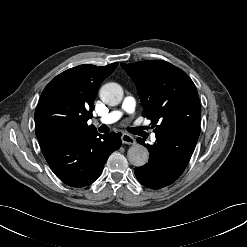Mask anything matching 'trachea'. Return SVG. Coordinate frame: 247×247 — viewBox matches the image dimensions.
I'll return each instance as SVG.
<instances>
[{
  "mask_svg": "<svg viewBox=\"0 0 247 247\" xmlns=\"http://www.w3.org/2000/svg\"><path fill=\"white\" fill-rule=\"evenodd\" d=\"M99 132H101V133H108L109 132V127L106 126V125H101L99 127Z\"/></svg>",
  "mask_w": 247,
  "mask_h": 247,
  "instance_id": "3493384b",
  "label": "trachea"
}]
</instances>
